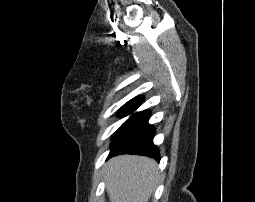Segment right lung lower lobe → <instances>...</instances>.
<instances>
[{
    "mask_svg": "<svg viewBox=\"0 0 255 202\" xmlns=\"http://www.w3.org/2000/svg\"><path fill=\"white\" fill-rule=\"evenodd\" d=\"M149 115V111L140 112L122 128L112 141L108 158L119 154H138L160 160L152 141L155 129L148 124Z\"/></svg>",
    "mask_w": 255,
    "mask_h": 202,
    "instance_id": "1",
    "label": "right lung lower lobe"
}]
</instances>
